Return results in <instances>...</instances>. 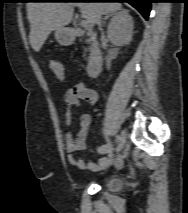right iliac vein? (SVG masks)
Masks as SVG:
<instances>
[{"mask_svg": "<svg viewBox=\"0 0 188 213\" xmlns=\"http://www.w3.org/2000/svg\"><path fill=\"white\" fill-rule=\"evenodd\" d=\"M119 137H120V140H119L118 146H117V151H118V152L121 151L122 148H123L124 145H125V141H126V134H125V132L122 131L121 134L119 135Z\"/></svg>", "mask_w": 188, "mask_h": 213, "instance_id": "1", "label": "right iliac vein"}]
</instances>
